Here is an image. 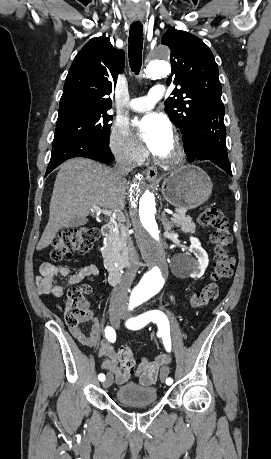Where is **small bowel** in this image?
<instances>
[{
    "label": "small bowel",
    "instance_id": "1",
    "mask_svg": "<svg viewBox=\"0 0 271 459\" xmlns=\"http://www.w3.org/2000/svg\"><path fill=\"white\" fill-rule=\"evenodd\" d=\"M99 270L94 265L86 266L75 273H71L66 266H55L50 263H45L40 268V275L36 280L37 290L41 295H53L55 297L63 296L67 286L75 285L82 281L85 277L97 276ZM67 279V285L58 283L59 279ZM90 324L88 333H85L78 326L69 328L73 337L82 345L90 348L97 356L101 357V368L113 378L116 384H124L129 381L133 375V371H127L121 367L119 357L114 347L105 342L101 337V322L91 313L83 320ZM169 357L161 355L154 360L143 358L139 364L135 375L138 381L143 386L153 385L158 377L159 368L161 365L168 363Z\"/></svg>",
    "mask_w": 271,
    "mask_h": 459
}]
</instances>
